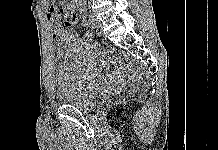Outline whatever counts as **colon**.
Listing matches in <instances>:
<instances>
[{
    "mask_svg": "<svg viewBox=\"0 0 218 150\" xmlns=\"http://www.w3.org/2000/svg\"><path fill=\"white\" fill-rule=\"evenodd\" d=\"M76 21H77V17L74 13L67 12L65 14L64 23L69 28V31L66 33V37H65L66 40L72 41L77 38V32L73 28V26L76 24Z\"/></svg>",
    "mask_w": 218,
    "mask_h": 150,
    "instance_id": "colon-1",
    "label": "colon"
}]
</instances>
